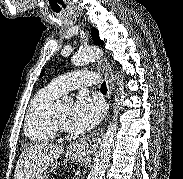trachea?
<instances>
[{
  "instance_id": "1",
  "label": "trachea",
  "mask_w": 183,
  "mask_h": 179,
  "mask_svg": "<svg viewBox=\"0 0 183 179\" xmlns=\"http://www.w3.org/2000/svg\"><path fill=\"white\" fill-rule=\"evenodd\" d=\"M101 90L102 91H107V86H106V82L105 81L101 84Z\"/></svg>"
}]
</instances>
